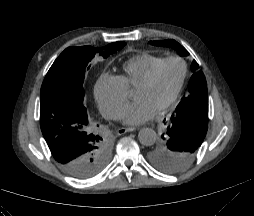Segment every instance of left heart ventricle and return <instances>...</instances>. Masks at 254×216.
<instances>
[{
	"instance_id": "1",
	"label": "left heart ventricle",
	"mask_w": 254,
	"mask_h": 216,
	"mask_svg": "<svg viewBox=\"0 0 254 216\" xmlns=\"http://www.w3.org/2000/svg\"><path fill=\"white\" fill-rule=\"evenodd\" d=\"M180 76V64L177 62H169L162 67L157 78L150 86L135 89L133 97L147 101L158 110L173 96Z\"/></svg>"
}]
</instances>
